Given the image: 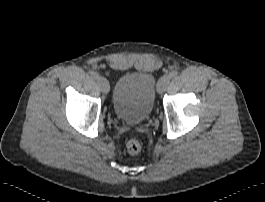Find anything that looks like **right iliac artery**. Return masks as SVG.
<instances>
[{
	"instance_id": "1",
	"label": "right iliac artery",
	"mask_w": 265,
	"mask_h": 202,
	"mask_svg": "<svg viewBox=\"0 0 265 202\" xmlns=\"http://www.w3.org/2000/svg\"><path fill=\"white\" fill-rule=\"evenodd\" d=\"M89 75L93 79H97L99 77V74L97 72H95V71H90Z\"/></svg>"
}]
</instances>
